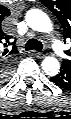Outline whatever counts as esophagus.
<instances>
[{
  "label": "esophagus",
  "mask_w": 71,
  "mask_h": 119,
  "mask_svg": "<svg viewBox=\"0 0 71 119\" xmlns=\"http://www.w3.org/2000/svg\"><path fill=\"white\" fill-rule=\"evenodd\" d=\"M35 57L37 58H43L45 55L41 52H36V51H33L32 53Z\"/></svg>",
  "instance_id": "obj_1"
}]
</instances>
